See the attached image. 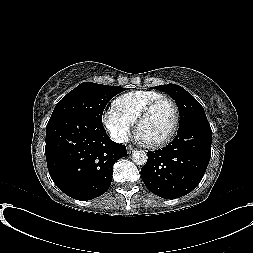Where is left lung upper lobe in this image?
Returning a JSON list of instances; mask_svg holds the SVG:
<instances>
[{
  "label": "left lung upper lobe",
  "instance_id": "obj_1",
  "mask_svg": "<svg viewBox=\"0 0 253 253\" xmlns=\"http://www.w3.org/2000/svg\"><path fill=\"white\" fill-rule=\"evenodd\" d=\"M156 88L167 92L175 100L180 114L179 125L193 119H207L203 107L181 86L167 84L157 86Z\"/></svg>",
  "mask_w": 253,
  "mask_h": 253
}]
</instances>
